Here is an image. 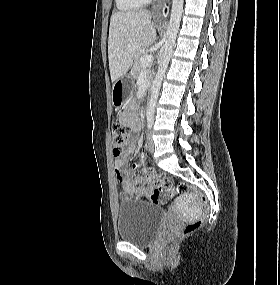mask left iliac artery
<instances>
[{"instance_id":"1","label":"left iliac artery","mask_w":280,"mask_h":285,"mask_svg":"<svg viewBox=\"0 0 280 285\" xmlns=\"http://www.w3.org/2000/svg\"><path fill=\"white\" fill-rule=\"evenodd\" d=\"M152 124H153V117H148V119H147V125H148V128H149V129L152 127Z\"/></svg>"}]
</instances>
